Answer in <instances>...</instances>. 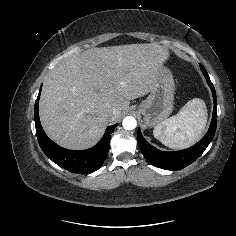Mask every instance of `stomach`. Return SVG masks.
Listing matches in <instances>:
<instances>
[{"mask_svg": "<svg viewBox=\"0 0 236 236\" xmlns=\"http://www.w3.org/2000/svg\"><path fill=\"white\" fill-rule=\"evenodd\" d=\"M174 93L173 75L162 65L154 78L150 95L138 107L146 126L155 127L170 116L173 110Z\"/></svg>", "mask_w": 236, "mask_h": 236, "instance_id": "1", "label": "stomach"}]
</instances>
